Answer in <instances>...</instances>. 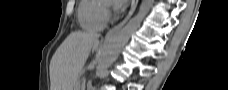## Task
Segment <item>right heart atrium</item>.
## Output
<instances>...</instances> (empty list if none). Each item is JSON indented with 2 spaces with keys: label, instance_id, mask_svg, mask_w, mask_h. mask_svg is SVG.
Here are the masks:
<instances>
[{
  "label": "right heart atrium",
  "instance_id": "right-heart-atrium-1",
  "mask_svg": "<svg viewBox=\"0 0 228 90\" xmlns=\"http://www.w3.org/2000/svg\"><path fill=\"white\" fill-rule=\"evenodd\" d=\"M102 16L105 19V21H107L109 18V9L106 3L103 5V8H102Z\"/></svg>",
  "mask_w": 228,
  "mask_h": 90
}]
</instances>
